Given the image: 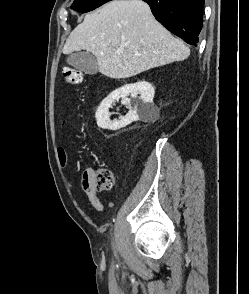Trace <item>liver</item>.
<instances>
[{"instance_id": "liver-1", "label": "liver", "mask_w": 249, "mask_h": 294, "mask_svg": "<svg viewBox=\"0 0 249 294\" xmlns=\"http://www.w3.org/2000/svg\"><path fill=\"white\" fill-rule=\"evenodd\" d=\"M118 48H123L121 54ZM86 50L97 60L104 76L122 79L190 55L153 17L142 0H113L85 16L69 35L64 54Z\"/></svg>"}]
</instances>
